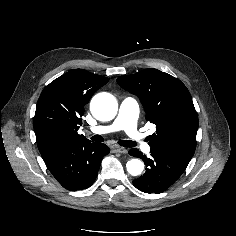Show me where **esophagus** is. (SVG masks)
I'll list each match as a JSON object with an SVG mask.
<instances>
[{"label": "esophagus", "mask_w": 236, "mask_h": 236, "mask_svg": "<svg viewBox=\"0 0 236 236\" xmlns=\"http://www.w3.org/2000/svg\"><path fill=\"white\" fill-rule=\"evenodd\" d=\"M112 151L117 152V153H122V154H127V152H128V150L126 148L119 147V146L113 147Z\"/></svg>", "instance_id": "34e87169"}]
</instances>
